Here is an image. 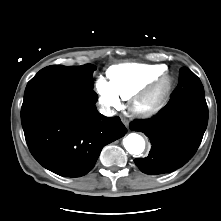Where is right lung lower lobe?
Returning <instances> with one entry per match:
<instances>
[{"instance_id":"obj_1","label":"right lung lower lobe","mask_w":221,"mask_h":221,"mask_svg":"<svg viewBox=\"0 0 221 221\" xmlns=\"http://www.w3.org/2000/svg\"><path fill=\"white\" fill-rule=\"evenodd\" d=\"M97 100L92 89L27 84L21 122L29 150L43 167L60 176H83L105 145L126 134L119 117L97 111Z\"/></svg>"}]
</instances>
